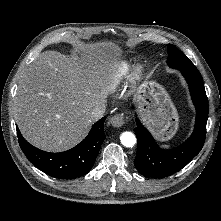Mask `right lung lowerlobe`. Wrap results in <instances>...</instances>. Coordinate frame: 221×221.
Masks as SVG:
<instances>
[{
    "label": "right lung lower lobe",
    "instance_id": "right-lung-lower-lobe-1",
    "mask_svg": "<svg viewBox=\"0 0 221 221\" xmlns=\"http://www.w3.org/2000/svg\"><path fill=\"white\" fill-rule=\"evenodd\" d=\"M105 117L96 122L88 136L77 146L61 153L42 151L29 144L17 128L19 145L38 169L59 179H73L87 174L95 163L104 135Z\"/></svg>",
    "mask_w": 221,
    "mask_h": 221
}]
</instances>
